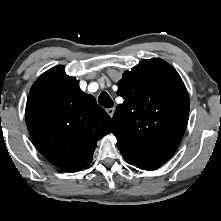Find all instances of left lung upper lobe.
<instances>
[{"label":"left lung upper lobe","mask_w":221,"mask_h":221,"mask_svg":"<svg viewBox=\"0 0 221 221\" xmlns=\"http://www.w3.org/2000/svg\"><path fill=\"white\" fill-rule=\"evenodd\" d=\"M124 102L113 116L117 146L163 164L176 152L189 115V96L177 71L159 58L143 60L117 83Z\"/></svg>","instance_id":"obj_1"}]
</instances>
